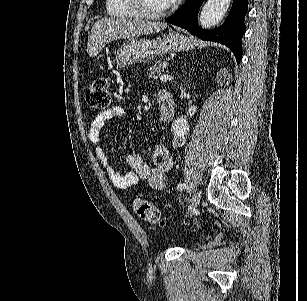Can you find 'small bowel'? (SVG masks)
I'll return each instance as SVG.
<instances>
[{"label": "small bowel", "mask_w": 307, "mask_h": 301, "mask_svg": "<svg viewBox=\"0 0 307 301\" xmlns=\"http://www.w3.org/2000/svg\"><path fill=\"white\" fill-rule=\"evenodd\" d=\"M125 110L120 105H114L106 111L98 114L91 122L88 139L92 143H98L107 121L120 118ZM97 159L108 172L112 184L119 189H127L132 186L146 183L154 190H163L166 186V172L173 164L172 156L166 146L160 145L154 152V166L150 167L138 154H129L126 163L131 169L126 174H121L112 166L105 150L102 147L95 149Z\"/></svg>", "instance_id": "obj_1"}]
</instances>
